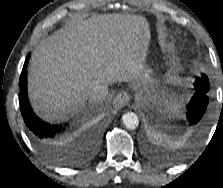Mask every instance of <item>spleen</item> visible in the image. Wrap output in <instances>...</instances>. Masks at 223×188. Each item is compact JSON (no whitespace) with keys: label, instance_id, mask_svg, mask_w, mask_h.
<instances>
[{"label":"spleen","instance_id":"spleen-1","mask_svg":"<svg viewBox=\"0 0 223 188\" xmlns=\"http://www.w3.org/2000/svg\"><path fill=\"white\" fill-rule=\"evenodd\" d=\"M179 105H178V103H177V101H174L173 103H172V105H171V107H173V108H177Z\"/></svg>","mask_w":223,"mask_h":188}]
</instances>
